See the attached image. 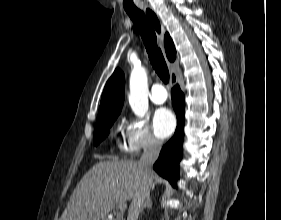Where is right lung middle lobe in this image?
<instances>
[{"label": "right lung middle lobe", "instance_id": "1", "mask_svg": "<svg viewBox=\"0 0 281 220\" xmlns=\"http://www.w3.org/2000/svg\"><path fill=\"white\" fill-rule=\"evenodd\" d=\"M118 115L107 116L100 119H97L94 130V145H98L109 133V128L114 123Z\"/></svg>", "mask_w": 281, "mask_h": 220}]
</instances>
